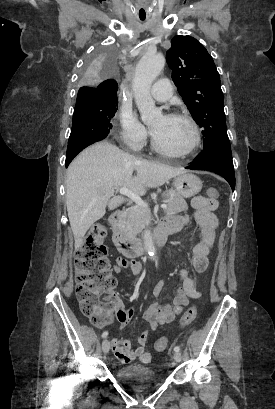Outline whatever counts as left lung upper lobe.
Returning <instances> with one entry per match:
<instances>
[{
    "instance_id": "left-lung-upper-lobe-1",
    "label": "left lung upper lobe",
    "mask_w": 275,
    "mask_h": 409,
    "mask_svg": "<svg viewBox=\"0 0 275 409\" xmlns=\"http://www.w3.org/2000/svg\"><path fill=\"white\" fill-rule=\"evenodd\" d=\"M171 44L166 60L172 80L194 120L204 128V150L229 142L220 76L213 58L191 36H175Z\"/></svg>"
}]
</instances>
